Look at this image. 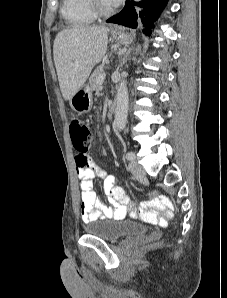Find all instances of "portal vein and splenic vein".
Wrapping results in <instances>:
<instances>
[{
  "label": "portal vein and splenic vein",
  "instance_id": "portal-vein-and-splenic-vein-1",
  "mask_svg": "<svg viewBox=\"0 0 227 298\" xmlns=\"http://www.w3.org/2000/svg\"><path fill=\"white\" fill-rule=\"evenodd\" d=\"M106 77V74H102L98 79H97V83L99 85H101L104 82V79Z\"/></svg>",
  "mask_w": 227,
  "mask_h": 298
}]
</instances>
